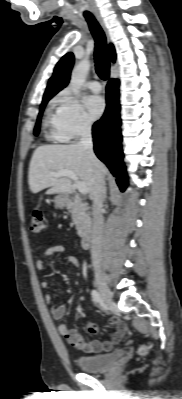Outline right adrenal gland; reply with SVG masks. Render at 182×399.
I'll return each instance as SVG.
<instances>
[{
	"mask_svg": "<svg viewBox=\"0 0 182 399\" xmlns=\"http://www.w3.org/2000/svg\"><path fill=\"white\" fill-rule=\"evenodd\" d=\"M106 190H107V189L105 188V197H106Z\"/></svg>",
	"mask_w": 182,
	"mask_h": 399,
	"instance_id": "1",
	"label": "right adrenal gland"
}]
</instances>
